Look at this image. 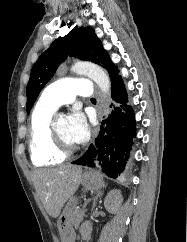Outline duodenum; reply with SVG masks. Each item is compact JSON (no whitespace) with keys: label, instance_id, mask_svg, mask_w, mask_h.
<instances>
[{"label":"duodenum","instance_id":"duodenum-1","mask_svg":"<svg viewBox=\"0 0 187 242\" xmlns=\"http://www.w3.org/2000/svg\"><path fill=\"white\" fill-rule=\"evenodd\" d=\"M88 238H89L88 236L84 237L85 240H87Z\"/></svg>","mask_w":187,"mask_h":242}]
</instances>
